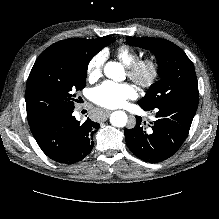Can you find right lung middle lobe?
<instances>
[{
    "label": "right lung middle lobe",
    "mask_w": 219,
    "mask_h": 219,
    "mask_svg": "<svg viewBox=\"0 0 219 219\" xmlns=\"http://www.w3.org/2000/svg\"><path fill=\"white\" fill-rule=\"evenodd\" d=\"M94 54L55 44L36 60L26 87L29 124L74 109L75 93L86 86L87 67Z\"/></svg>",
    "instance_id": "obj_1"
}]
</instances>
